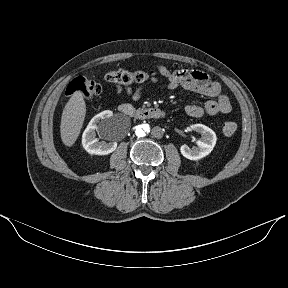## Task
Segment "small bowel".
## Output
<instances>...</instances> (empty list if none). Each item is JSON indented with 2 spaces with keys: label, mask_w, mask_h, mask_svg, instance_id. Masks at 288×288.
I'll return each mask as SVG.
<instances>
[{
  "label": "small bowel",
  "mask_w": 288,
  "mask_h": 288,
  "mask_svg": "<svg viewBox=\"0 0 288 288\" xmlns=\"http://www.w3.org/2000/svg\"><path fill=\"white\" fill-rule=\"evenodd\" d=\"M156 72L166 79V89L174 90L179 87L206 96L208 99L202 104H188L184 110L190 117L199 118L205 114L216 115L229 113L232 109L229 98L223 94L219 82L213 80L207 73L198 70L178 69L170 70L165 65L156 67ZM151 84L158 83L156 77H151ZM144 85L135 88L120 86L116 87L115 93L125 92L133 100L141 97Z\"/></svg>",
  "instance_id": "small-bowel-1"
}]
</instances>
